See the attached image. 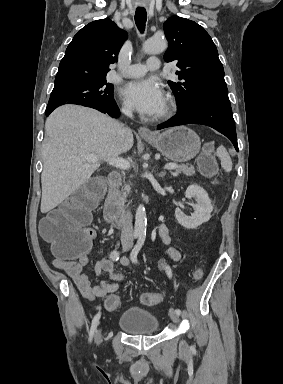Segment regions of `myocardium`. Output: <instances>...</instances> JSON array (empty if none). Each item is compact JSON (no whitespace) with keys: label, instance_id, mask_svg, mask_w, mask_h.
Segmentation results:
<instances>
[{"label":"myocardium","instance_id":"myocardium-1","mask_svg":"<svg viewBox=\"0 0 283 384\" xmlns=\"http://www.w3.org/2000/svg\"><path fill=\"white\" fill-rule=\"evenodd\" d=\"M170 113V106L168 103H166L163 108L160 110V112L157 114L156 119H161L166 116H168Z\"/></svg>","mask_w":283,"mask_h":384}]
</instances>
